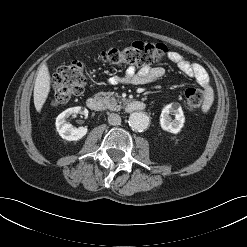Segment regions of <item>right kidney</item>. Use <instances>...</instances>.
<instances>
[{
	"label": "right kidney",
	"mask_w": 247,
	"mask_h": 247,
	"mask_svg": "<svg viewBox=\"0 0 247 247\" xmlns=\"http://www.w3.org/2000/svg\"><path fill=\"white\" fill-rule=\"evenodd\" d=\"M75 113L84 115L85 117L88 116V110L86 108L77 106L66 109L56 118L55 125L59 135L68 141H77L87 134L86 127L75 128L71 124L67 123V118Z\"/></svg>",
	"instance_id": "ca27d5eb"
}]
</instances>
